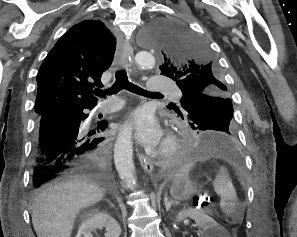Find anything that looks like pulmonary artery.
<instances>
[{
    "label": "pulmonary artery",
    "instance_id": "e3ab8cb5",
    "mask_svg": "<svg viewBox=\"0 0 297 237\" xmlns=\"http://www.w3.org/2000/svg\"><path fill=\"white\" fill-rule=\"evenodd\" d=\"M147 89L150 91H175L174 89V84L171 83L170 81L164 79L163 76H154L150 79L149 83L147 84ZM123 106L122 101H110L107 104L103 105L100 109L99 112L101 113H109L118 110Z\"/></svg>",
    "mask_w": 297,
    "mask_h": 237
}]
</instances>
